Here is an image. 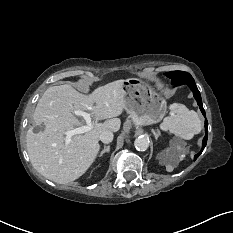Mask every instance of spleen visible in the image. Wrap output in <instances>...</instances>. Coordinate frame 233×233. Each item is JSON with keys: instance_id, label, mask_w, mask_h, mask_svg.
I'll use <instances>...</instances> for the list:
<instances>
[{"instance_id": "1", "label": "spleen", "mask_w": 233, "mask_h": 233, "mask_svg": "<svg viewBox=\"0 0 233 233\" xmlns=\"http://www.w3.org/2000/svg\"><path fill=\"white\" fill-rule=\"evenodd\" d=\"M170 115L163 119L160 128L173 133L176 137L190 140L201 131L202 123L198 114L185 105L173 103L169 106ZM180 151H184L181 147Z\"/></svg>"}]
</instances>
